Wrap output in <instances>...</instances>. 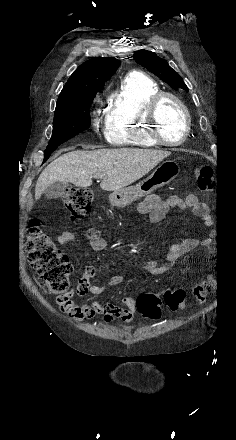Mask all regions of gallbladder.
Instances as JSON below:
<instances>
[{"mask_svg": "<svg viewBox=\"0 0 236 440\" xmlns=\"http://www.w3.org/2000/svg\"><path fill=\"white\" fill-rule=\"evenodd\" d=\"M68 187L69 183L67 182H55L45 189L44 196L50 200L58 199L65 193Z\"/></svg>", "mask_w": 236, "mask_h": 440, "instance_id": "gallbladder-1", "label": "gallbladder"}]
</instances>
